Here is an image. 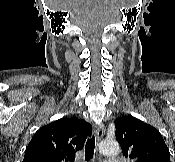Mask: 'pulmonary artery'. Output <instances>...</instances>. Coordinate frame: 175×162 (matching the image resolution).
I'll return each instance as SVG.
<instances>
[{
	"label": "pulmonary artery",
	"instance_id": "pulmonary-artery-1",
	"mask_svg": "<svg viewBox=\"0 0 175 162\" xmlns=\"http://www.w3.org/2000/svg\"><path fill=\"white\" fill-rule=\"evenodd\" d=\"M105 162H123V160L119 158H110V159L105 160Z\"/></svg>",
	"mask_w": 175,
	"mask_h": 162
}]
</instances>
